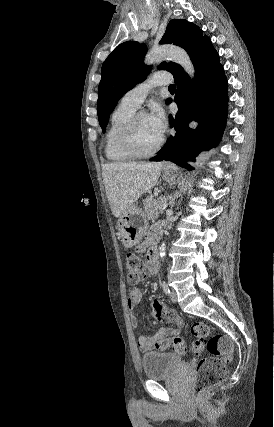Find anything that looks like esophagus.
Returning a JSON list of instances; mask_svg holds the SVG:
<instances>
[{"instance_id":"1","label":"esophagus","mask_w":274,"mask_h":427,"mask_svg":"<svg viewBox=\"0 0 274 427\" xmlns=\"http://www.w3.org/2000/svg\"><path fill=\"white\" fill-rule=\"evenodd\" d=\"M171 165L170 162H164V166Z\"/></svg>"}]
</instances>
